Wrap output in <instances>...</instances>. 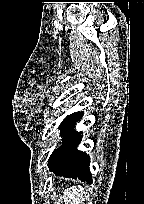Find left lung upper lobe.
<instances>
[{"label":"left lung upper lobe","instance_id":"obj_1","mask_svg":"<svg viewBox=\"0 0 144 204\" xmlns=\"http://www.w3.org/2000/svg\"><path fill=\"white\" fill-rule=\"evenodd\" d=\"M76 113L74 114H71L70 116H67V118H65V120L60 124V134L61 136L63 137L62 140H64V138L66 137V134H67V128H68V125L70 123V120L72 119V117L75 115Z\"/></svg>","mask_w":144,"mask_h":204}]
</instances>
